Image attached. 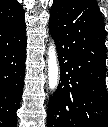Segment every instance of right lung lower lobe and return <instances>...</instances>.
<instances>
[{"instance_id":"1","label":"right lung lower lobe","mask_w":108,"mask_h":127,"mask_svg":"<svg viewBox=\"0 0 108 127\" xmlns=\"http://www.w3.org/2000/svg\"><path fill=\"white\" fill-rule=\"evenodd\" d=\"M26 24L0 27V127H16L26 60Z\"/></svg>"}]
</instances>
